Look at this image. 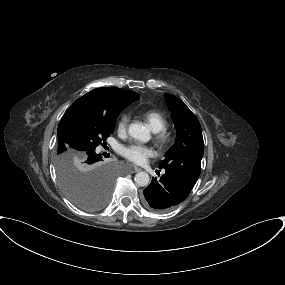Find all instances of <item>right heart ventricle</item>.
I'll list each match as a JSON object with an SVG mask.
<instances>
[{
  "mask_svg": "<svg viewBox=\"0 0 285 285\" xmlns=\"http://www.w3.org/2000/svg\"><path fill=\"white\" fill-rule=\"evenodd\" d=\"M144 117L150 125L151 129L155 132L162 131L167 126L166 117L159 111L148 110L144 112Z\"/></svg>",
  "mask_w": 285,
  "mask_h": 285,
  "instance_id": "e07e8e85",
  "label": "right heart ventricle"
}]
</instances>
